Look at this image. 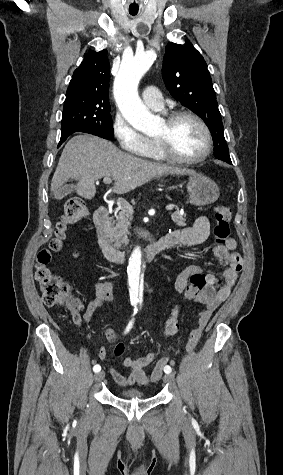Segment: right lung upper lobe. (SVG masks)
I'll use <instances>...</instances> for the list:
<instances>
[{
    "label": "right lung upper lobe",
    "mask_w": 283,
    "mask_h": 475,
    "mask_svg": "<svg viewBox=\"0 0 283 475\" xmlns=\"http://www.w3.org/2000/svg\"><path fill=\"white\" fill-rule=\"evenodd\" d=\"M110 64L107 50L89 51L72 76L66 98H99L108 100Z\"/></svg>",
    "instance_id": "obj_1"
}]
</instances>
